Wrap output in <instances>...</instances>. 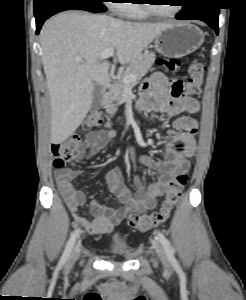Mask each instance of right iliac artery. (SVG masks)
I'll use <instances>...</instances> for the list:
<instances>
[{
    "label": "right iliac artery",
    "mask_w": 246,
    "mask_h": 300,
    "mask_svg": "<svg viewBox=\"0 0 246 300\" xmlns=\"http://www.w3.org/2000/svg\"><path fill=\"white\" fill-rule=\"evenodd\" d=\"M81 230L80 228H77L71 235L67 245H66V248L62 254V257L59 261V266H62L69 258L70 256V253L73 249V246L75 244V241H76V237L80 234Z\"/></svg>",
    "instance_id": "82829eb1"
}]
</instances>
